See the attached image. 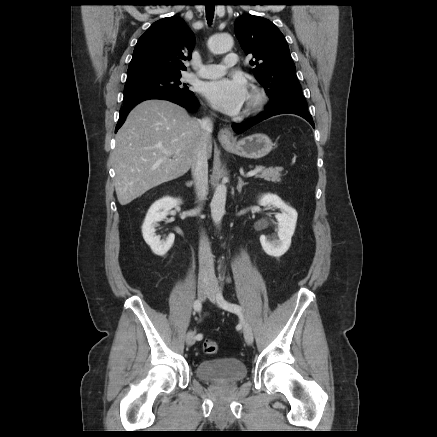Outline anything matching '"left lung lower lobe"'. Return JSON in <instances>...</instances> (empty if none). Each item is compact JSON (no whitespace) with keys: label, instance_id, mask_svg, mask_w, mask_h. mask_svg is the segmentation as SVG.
Masks as SVG:
<instances>
[{"label":"left lung lower lobe","instance_id":"0a47b994","mask_svg":"<svg viewBox=\"0 0 437 437\" xmlns=\"http://www.w3.org/2000/svg\"><path fill=\"white\" fill-rule=\"evenodd\" d=\"M279 114H296L301 116L302 118L306 119L313 127L314 122L312 119L311 114L307 111V109L298 108L294 106H280V107H274V108H268L264 112L260 113L257 117L250 119L247 122L240 123V124H234L232 126L233 130L236 133H242L245 130L249 129L253 125L261 122L264 119H267L269 117L279 115Z\"/></svg>","mask_w":437,"mask_h":437}]
</instances>
